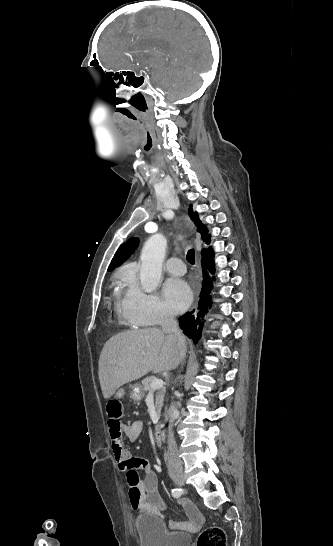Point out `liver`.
<instances>
[{
    "label": "liver",
    "mask_w": 333,
    "mask_h": 546,
    "mask_svg": "<svg viewBox=\"0 0 333 546\" xmlns=\"http://www.w3.org/2000/svg\"><path fill=\"white\" fill-rule=\"evenodd\" d=\"M181 360L177 339L158 328L127 331L110 338L99 358V380L105 399L122 385L149 372L177 368Z\"/></svg>",
    "instance_id": "6515ba94"
}]
</instances>
